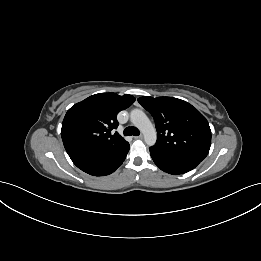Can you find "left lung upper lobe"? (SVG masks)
Returning a JSON list of instances; mask_svg holds the SVG:
<instances>
[{
  "mask_svg": "<svg viewBox=\"0 0 261 261\" xmlns=\"http://www.w3.org/2000/svg\"><path fill=\"white\" fill-rule=\"evenodd\" d=\"M138 102L154 118L160 149L193 157L208 155L211 130L206 118L191 104L173 97H140Z\"/></svg>",
  "mask_w": 261,
  "mask_h": 261,
  "instance_id": "5c2ea615",
  "label": "left lung upper lobe"
}]
</instances>
